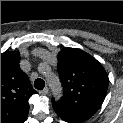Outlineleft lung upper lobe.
Listing matches in <instances>:
<instances>
[{"instance_id":"obj_1","label":"left lung upper lobe","mask_w":123,"mask_h":123,"mask_svg":"<svg viewBox=\"0 0 123 123\" xmlns=\"http://www.w3.org/2000/svg\"><path fill=\"white\" fill-rule=\"evenodd\" d=\"M58 73L63 97L52 100L57 115L69 123L92 117L102 105L109 85L103 66L88 53L64 48L58 54Z\"/></svg>"}]
</instances>
